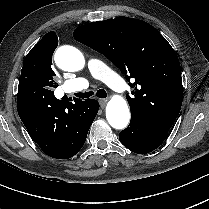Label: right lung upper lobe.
I'll list each match as a JSON object with an SVG mask.
<instances>
[{"mask_svg":"<svg viewBox=\"0 0 209 209\" xmlns=\"http://www.w3.org/2000/svg\"><path fill=\"white\" fill-rule=\"evenodd\" d=\"M42 43H51L57 47L58 45V37L55 32H49L43 36V38L38 42V44ZM55 47V49H56ZM65 101H67L65 99ZM70 111H66L62 117V123H66L67 121H71V124L75 127L82 128L86 125L88 118L91 114L92 106L89 101L85 100H75V103L69 102Z\"/></svg>","mask_w":209,"mask_h":209,"instance_id":"obj_1","label":"right lung upper lobe"}]
</instances>
